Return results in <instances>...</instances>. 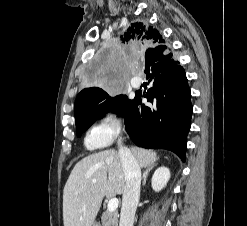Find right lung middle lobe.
Returning <instances> with one entry per match:
<instances>
[{
  "instance_id": "dd1d6c3e",
  "label": "right lung middle lobe",
  "mask_w": 247,
  "mask_h": 226,
  "mask_svg": "<svg viewBox=\"0 0 247 226\" xmlns=\"http://www.w3.org/2000/svg\"><path fill=\"white\" fill-rule=\"evenodd\" d=\"M126 101L127 97L125 95L111 97L104 90L85 101L80 108L79 116L76 117L77 136L80 137L85 130L105 113L118 111Z\"/></svg>"
}]
</instances>
